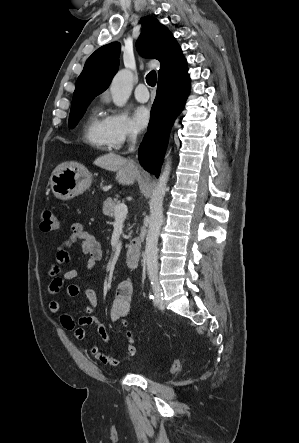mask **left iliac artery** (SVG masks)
I'll return each mask as SVG.
<instances>
[{"label":"left iliac artery","mask_w":299,"mask_h":443,"mask_svg":"<svg viewBox=\"0 0 299 443\" xmlns=\"http://www.w3.org/2000/svg\"><path fill=\"white\" fill-rule=\"evenodd\" d=\"M149 278L153 287L154 292V302L158 304L161 300H163V294L160 290L159 282H158V275L157 272H150Z\"/></svg>","instance_id":"left-iliac-artery-1"}]
</instances>
